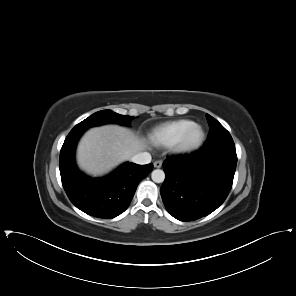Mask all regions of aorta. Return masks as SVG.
I'll return each instance as SVG.
<instances>
[{
    "instance_id": "1",
    "label": "aorta",
    "mask_w": 296,
    "mask_h": 296,
    "mask_svg": "<svg viewBox=\"0 0 296 296\" xmlns=\"http://www.w3.org/2000/svg\"><path fill=\"white\" fill-rule=\"evenodd\" d=\"M151 178L155 183H162L165 179V173L163 170L155 169L151 173Z\"/></svg>"
}]
</instances>
